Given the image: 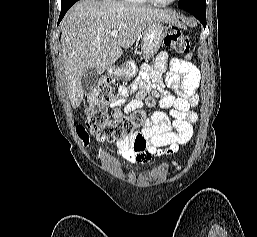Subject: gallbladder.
I'll return each instance as SVG.
<instances>
[{
    "instance_id": "obj_1",
    "label": "gallbladder",
    "mask_w": 257,
    "mask_h": 237,
    "mask_svg": "<svg viewBox=\"0 0 257 237\" xmlns=\"http://www.w3.org/2000/svg\"><path fill=\"white\" fill-rule=\"evenodd\" d=\"M99 73L95 68L87 69L81 78V84L85 94H89L98 81Z\"/></svg>"
}]
</instances>
